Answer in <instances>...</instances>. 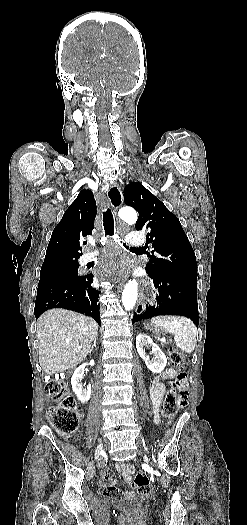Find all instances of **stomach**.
Returning a JSON list of instances; mask_svg holds the SVG:
<instances>
[{"mask_svg": "<svg viewBox=\"0 0 247 525\" xmlns=\"http://www.w3.org/2000/svg\"><path fill=\"white\" fill-rule=\"evenodd\" d=\"M145 327L154 331L156 335L165 334L166 332H168L164 328L153 326V325H146Z\"/></svg>", "mask_w": 247, "mask_h": 525, "instance_id": "1", "label": "stomach"}]
</instances>
